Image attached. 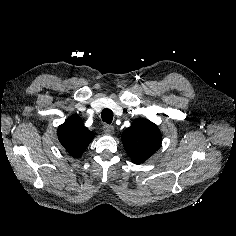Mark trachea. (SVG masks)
I'll use <instances>...</instances> for the list:
<instances>
[{
    "instance_id": "1",
    "label": "trachea",
    "mask_w": 236,
    "mask_h": 236,
    "mask_svg": "<svg viewBox=\"0 0 236 236\" xmlns=\"http://www.w3.org/2000/svg\"><path fill=\"white\" fill-rule=\"evenodd\" d=\"M103 122L110 124L113 120V112L110 109H104L101 114Z\"/></svg>"
}]
</instances>
